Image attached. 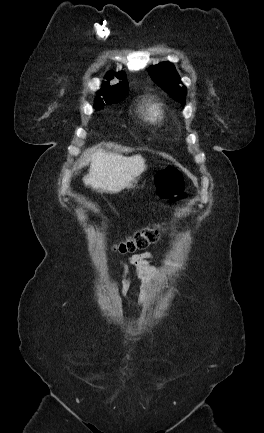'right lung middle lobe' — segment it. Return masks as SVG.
<instances>
[{
  "instance_id": "obj_1",
  "label": "right lung middle lobe",
  "mask_w": 264,
  "mask_h": 433,
  "mask_svg": "<svg viewBox=\"0 0 264 433\" xmlns=\"http://www.w3.org/2000/svg\"><path fill=\"white\" fill-rule=\"evenodd\" d=\"M123 98L111 100V101H96V104L94 105L95 109L99 110L105 106V104H113L121 101Z\"/></svg>"
}]
</instances>
